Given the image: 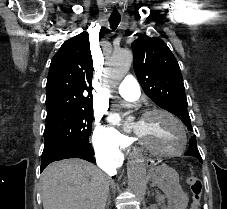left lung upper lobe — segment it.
I'll use <instances>...</instances> for the list:
<instances>
[{
	"instance_id": "obj_1",
	"label": "left lung upper lobe",
	"mask_w": 227,
	"mask_h": 209,
	"mask_svg": "<svg viewBox=\"0 0 227 209\" xmlns=\"http://www.w3.org/2000/svg\"><path fill=\"white\" fill-rule=\"evenodd\" d=\"M132 49L134 71L144 92L193 131L180 67L169 47L160 38L142 35L133 41ZM185 155L202 163L195 136L191 137Z\"/></svg>"
}]
</instances>
